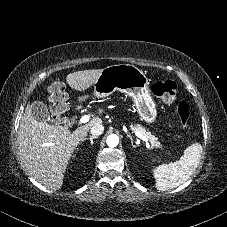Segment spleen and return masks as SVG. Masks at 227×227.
I'll list each match as a JSON object with an SVG mask.
<instances>
[{
	"instance_id": "obj_1",
	"label": "spleen",
	"mask_w": 227,
	"mask_h": 227,
	"mask_svg": "<svg viewBox=\"0 0 227 227\" xmlns=\"http://www.w3.org/2000/svg\"><path fill=\"white\" fill-rule=\"evenodd\" d=\"M202 155L200 143L187 147L180 160L169 164H161L154 168L155 187L159 191H167L187 181L196 170Z\"/></svg>"
}]
</instances>
